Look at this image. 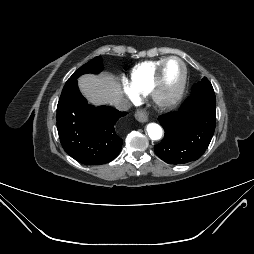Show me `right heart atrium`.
I'll return each mask as SVG.
<instances>
[{"label": "right heart atrium", "mask_w": 254, "mask_h": 254, "mask_svg": "<svg viewBox=\"0 0 254 254\" xmlns=\"http://www.w3.org/2000/svg\"><path fill=\"white\" fill-rule=\"evenodd\" d=\"M123 86H124V90L126 95L131 99V100H136L138 98V93L135 92L132 87L130 86V84L126 81H123Z\"/></svg>", "instance_id": "right-heart-atrium-1"}]
</instances>
